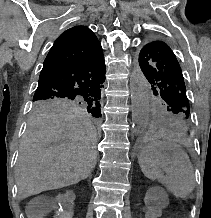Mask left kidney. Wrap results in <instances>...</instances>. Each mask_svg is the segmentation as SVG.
<instances>
[{
  "mask_svg": "<svg viewBox=\"0 0 211 218\" xmlns=\"http://www.w3.org/2000/svg\"><path fill=\"white\" fill-rule=\"evenodd\" d=\"M147 193H150V190ZM159 212H161V207H145L143 214L146 215V218H161V215H158Z\"/></svg>",
  "mask_w": 211,
  "mask_h": 218,
  "instance_id": "left-kidney-1",
  "label": "left kidney"
}]
</instances>
